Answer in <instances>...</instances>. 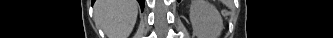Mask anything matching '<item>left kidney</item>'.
I'll return each instance as SVG.
<instances>
[{"label":"left kidney","mask_w":333,"mask_h":38,"mask_svg":"<svg viewBox=\"0 0 333 38\" xmlns=\"http://www.w3.org/2000/svg\"><path fill=\"white\" fill-rule=\"evenodd\" d=\"M190 21L197 38H217L224 28L219 11L206 0H192Z\"/></svg>","instance_id":"left-kidney-1"}]
</instances>
